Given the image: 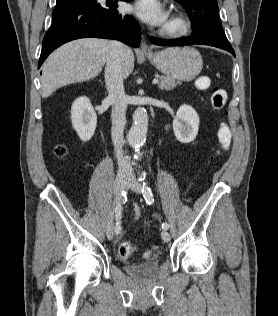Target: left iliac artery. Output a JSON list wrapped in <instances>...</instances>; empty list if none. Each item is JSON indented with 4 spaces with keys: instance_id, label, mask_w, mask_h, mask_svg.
Returning <instances> with one entry per match:
<instances>
[{
    "instance_id": "left-iliac-artery-1",
    "label": "left iliac artery",
    "mask_w": 278,
    "mask_h": 316,
    "mask_svg": "<svg viewBox=\"0 0 278 316\" xmlns=\"http://www.w3.org/2000/svg\"><path fill=\"white\" fill-rule=\"evenodd\" d=\"M142 193H143V197L148 205H150L154 202V197H153L152 191H151L150 187L147 186L146 183H143ZM162 228L164 230H167L169 228V224L167 222H164L162 224Z\"/></svg>"
}]
</instances>
